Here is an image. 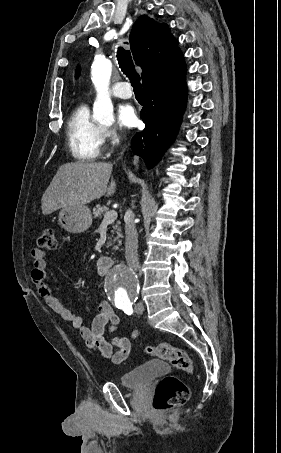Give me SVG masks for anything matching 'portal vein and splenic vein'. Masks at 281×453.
<instances>
[{
  "label": "portal vein and splenic vein",
  "mask_w": 281,
  "mask_h": 453,
  "mask_svg": "<svg viewBox=\"0 0 281 453\" xmlns=\"http://www.w3.org/2000/svg\"><path fill=\"white\" fill-rule=\"evenodd\" d=\"M115 218H117L116 210H108V212L104 214L103 222H114Z\"/></svg>",
  "instance_id": "obj_1"
}]
</instances>
